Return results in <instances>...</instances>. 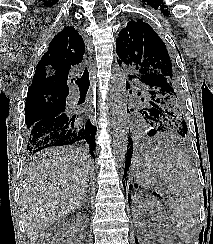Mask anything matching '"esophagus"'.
<instances>
[{
  "mask_svg": "<svg viewBox=\"0 0 213 244\" xmlns=\"http://www.w3.org/2000/svg\"><path fill=\"white\" fill-rule=\"evenodd\" d=\"M88 50H89L90 53H92V48L91 47H88ZM89 65H90V73H91L92 81L94 82L96 68H95V63H94V61L91 58L89 60Z\"/></svg>",
  "mask_w": 213,
  "mask_h": 244,
  "instance_id": "1",
  "label": "esophagus"
}]
</instances>
